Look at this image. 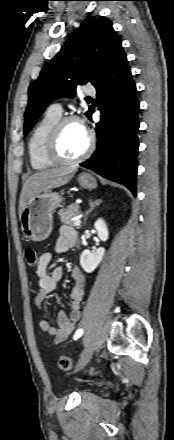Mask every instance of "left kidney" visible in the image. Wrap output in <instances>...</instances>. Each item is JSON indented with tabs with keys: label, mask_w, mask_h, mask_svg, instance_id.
Wrapping results in <instances>:
<instances>
[{
	"label": "left kidney",
	"mask_w": 174,
	"mask_h": 440,
	"mask_svg": "<svg viewBox=\"0 0 174 440\" xmlns=\"http://www.w3.org/2000/svg\"><path fill=\"white\" fill-rule=\"evenodd\" d=\"M94 227L97 231L98 237L101 241H107L109 237V231L107 225L103 219H98L94 223ZM105 254L103 247L98 248L96 251L84 250L80 256V265L82 269L87 273H92L101 263Z\"/></svg>",
	"instance_id": "5707ae66"
}]
</instances>
